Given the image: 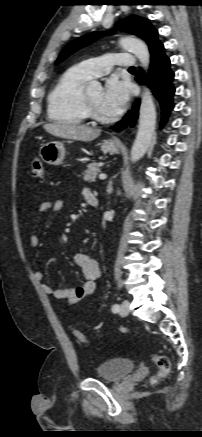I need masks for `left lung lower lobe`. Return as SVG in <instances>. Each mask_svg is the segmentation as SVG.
<instances>
[{"instance_id": "left-lung-lower-lobe-1", "label": "left lung lower lobe", "mask_w": 202, "mask_h": 437, "mask_svg": "<svg viewBox=\"0 0 202 437\" xmlns=\"http://www.w3.org/2000/svg\"><path fill=\"white\" fill-rule=\"evenodd\" d=\"M150 69L148 75L145 76L142 70H139L136 75V81L140 84L146 83L153 94L159 101L161 108L164 111L161 120V126L168 119L170 111L173 109V96L175 87L173 86L174 72L170 68V59L164 53L163 44H159L152 52L150 58ZM140 99L136 100L132 110L128 112L122 121L117 123L113 129L121 131L126 127L127 123L134 125L135 119L138 117Z\"/></svg>"}]
</instances>
